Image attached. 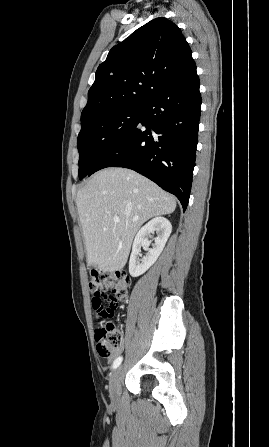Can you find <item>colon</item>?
Listing matches in <instances>:
<instances>
[{
  "label": "colon",
  "mask_w": 269,
  "mask_h": 447,
  "mask_svg": "<svg viewBox=\"0 0 269 447\" xmlns=\"http://www.w3.org/2000/svg\"><path fill=\"white\" fill-rule=\"evenodd\" d=\"M87 289L90 294L101 296L93 300V317L99 321L94 337L100 354L109 356L123 342V331L116 327L113 316L128 301L130 280L123 273L105 274L94 267L87 277Z\"/></svg>",
  "instance_id": "obj_1"
}]
</instances>
